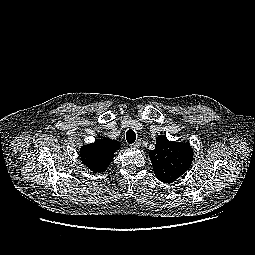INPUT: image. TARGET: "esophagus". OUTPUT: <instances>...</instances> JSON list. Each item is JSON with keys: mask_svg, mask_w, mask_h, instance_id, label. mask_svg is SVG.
Listing matches in <instances>:
<instances>
[{"mask_svg": "<svg viewBox=\"0 0 255 255\" xmlns=\"http://www.w3.org/2000/svg\"><path fill=\"white\" fill-rule=\"evenodd\" d=\"M130 146L133 148H139L141 146V143L140 141H136L134 144H131Z\"/></svg>", "mask_w": 255, "mask_h": 255, "instance_id": "obj_1", "label": "esophagus"}]
</instances>
